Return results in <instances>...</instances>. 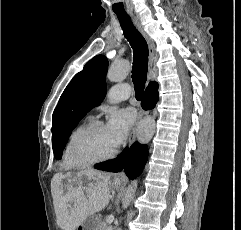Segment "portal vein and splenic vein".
<instances>
[{
	"instance_id": "portal-vein-and-splenic-vein-1",
	"label": "portal vein and splenic vein",
	"mask_w": 241,
	"mask_h": 230,
	"mask_svg": "<svg viewBox=\"0 0 241 230\" xmlns=\"http://www.w3.org/2000/svg\"><path fill=\"white\" fill-rule=\"evenodd\" d=\"M113 220H114V216L111 215V216L107 217L106 221L108 224H111L113 222Z\"/></svg>"
}]
</instances>
